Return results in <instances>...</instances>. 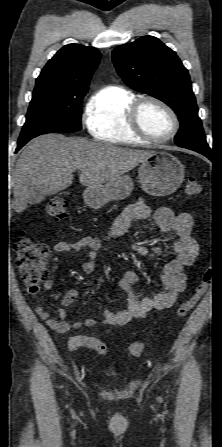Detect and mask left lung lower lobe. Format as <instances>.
Returning a JSON list of instances; mask_svg holds the SVG:
<instances>
[{
    "label": "left lung lower lobe",
    "mask_w": 222,
    "mask_h": 447,
    "mask_svg": "<svg viewBox=\"0 0 222 447\" xmlns=\"http://www.w3.org/2000/svg\"><path fill=\"white\" fill-rule=\"evenodd\" d=\"M209 149H210V148H209ZM191 150L198 151L199 153H201V154L207 156L208 158H211V156H212L211 150H209V151H205V150H195V149H191Z\"/></svg>",
    "instance_id": "1"
}]
</instances>
